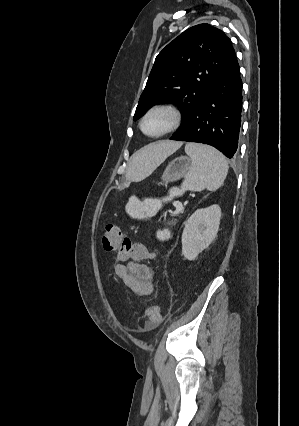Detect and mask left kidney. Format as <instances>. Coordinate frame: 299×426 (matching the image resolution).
I'll return each instance as SVG.
<instances>
[{
    "instance_id": "left-kidney-1",
    "label": "left kidney",
    "mask_w": 299,
    "mask_h": 426,
    "mask_svg": "<svg viewBox=\"0 0 299 426\" xmlns=\"http://www.w3.org/2000/svg\"><path fill=\"white\" fill-rule=\"evenodd\" d=\"M221 218V209L214 204L196 210L185 222L182 233V254L188 260L197 256L215 239Z\"/></svg>"
}]
</instances>
